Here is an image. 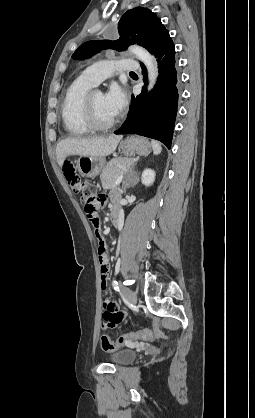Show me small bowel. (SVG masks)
Segmentation results:
<instances>
[{"label":"small bowel","mask_w":255,"mask_h":418,"mask_svg":"<svg viewBox=\"0 0 255 418\" xmlns=\"http://www.w3.org/2000/svg\"><path fill=\"white\" fill-rule=\"evenodd\" d=\"M111 198L115 202L118 198V192L113 191L111 193ZM113 206L117 205L114 204ZM95 240L97 241L95 254L98 256L100 264L101 288L105 291L108 286V278L110 274L109 257L106 249L108 246V239L103 237L101 234H98L95 237ZM102 306L104 322L106 326L110 328L117 325L126 316V312L120 311L117 302L111 298L104 297L102 300Z\"/></svg>","instance_id":"small-bowel-1"}]
</instances>
